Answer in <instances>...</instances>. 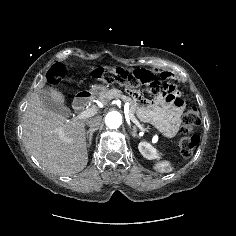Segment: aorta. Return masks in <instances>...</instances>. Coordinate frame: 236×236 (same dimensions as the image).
<instances>
[{"label":"aorta","mask_w":236,"mask_h":236,"mask_svg":"<svg viewBox=\"0 0 236 236\" xmlns=\"http://www.w3.org/2000/svg\"><path fill=\"white\" fill-rule=\"evenodd\" d=\"M105 124L110 129H117L122 124V116L117 111L109 112L105 117Z\"/></svg>","instance_id":"obj_1"}]
</instances>
